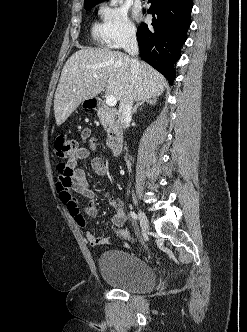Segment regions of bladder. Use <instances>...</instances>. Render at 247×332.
Returning a JSON list of instances; mask_svg holds the SVG:
<instances>
[{
	"label": "bladder",
	"mask_w": 247,
	"mask_h": 332,
	"mask_svg": "<svg viewBox=\"0 0 247 332\" xmlns=\"http://www.w3.org/2000/svg\"><path fill=\"white\" fill-rule=\"evenodd\" d=\"M98 268L106 283L127 292H147L156 284V275L151 265L140 256L125 250L104 251L98 259Z\"/></svg>",
	"instance_id": "1"
}]
</instances>
